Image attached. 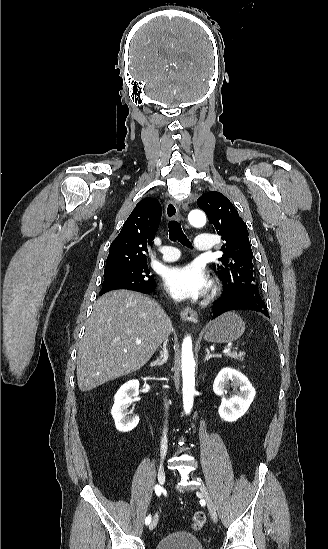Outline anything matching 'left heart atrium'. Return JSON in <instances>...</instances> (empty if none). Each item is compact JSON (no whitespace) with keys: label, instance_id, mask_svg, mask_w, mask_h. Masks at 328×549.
I'll return each mask as SVG.
<instances>
[{"label":"left heart atrium","instance_id":"1","mask_svg":"<svg viewBox=\"0 0 328 549\" xmlns=\"http://www.w3.org/2000/svg\"><path fill=\"white\" fill-rule=\"evenodd\" d=\"M166 290L176 299L204 296L211 285L203 265L193 262L171 268L164 277Z\"/></svg>","mask_w":328,"mask_h":549}]
</instances>
